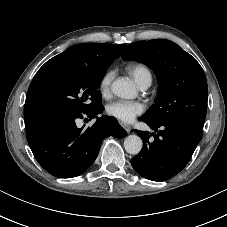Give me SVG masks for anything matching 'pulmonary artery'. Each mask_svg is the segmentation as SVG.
Masks as SVG:
<instances>
[{"label":"pulmonary artery","instance_id":"obj_1","mask_svg":"<svg viewBox=\"0 0 227 227\" xmlns=\"http://www.w3.org/2000/svg\"><path fill=\"white\" fill-rule=\"evenodd\" d=\"M149 86H150V83H145V84L140 86V89L141 90H146V89H148Z\"/></svg>","mask_w":227,"mask_h":227}]
</instances>
